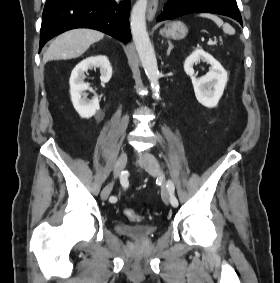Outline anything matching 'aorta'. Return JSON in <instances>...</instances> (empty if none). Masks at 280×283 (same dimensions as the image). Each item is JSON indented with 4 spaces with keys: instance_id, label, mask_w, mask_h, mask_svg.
I'll return each mask as SVG.
<instances>
[{
    "instance_id": "1",
    "label": "aorta",
    "mask_w": 280,
    "mask_h": 283,
    "mask_svg": "<svg viewBox=\"0 0 280 283\" xmlns=\"http://www.w3.org/2000/svg\"><path fill=\"white\" fill-rule=\"evenodd\" d=\"M148 0H137L131 12V33L142 67L150 81L153 97L159 99V77L155 52L146 29Z\"/></svg>"
}]
</instances>
